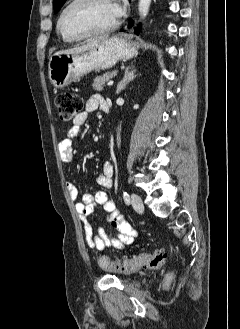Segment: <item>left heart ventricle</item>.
Returning a JSON list of instances; mask_svg holds the SVG:
<instances>
[{"mask_svg":"<svg viewBox=\"0 0 240 329\" xmlns=\"http://www.w3.org/2000/svg\"><path fill=\"white\" fill-rule=\"evenodd\" d=\"M116 20L111 0H90L69 11L64 27L68 33L80 35L107 27Z\"/></svg>","mask_w":240,"mask_h":329,"instance_id":"b2bd125f","label":"left heart ventricle"}]
</instances>
